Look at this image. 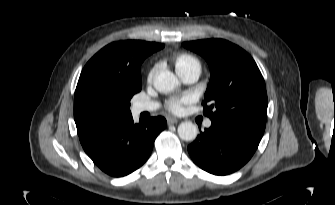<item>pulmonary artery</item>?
<instances>
[{"instance_id":"1","label":"pulmonary artery","mask_w":335,"mask_h":205,"mask_svg":"<svg viewBox=\"0 0 335 205\" xmlns=\"http://www.w3.org/2000/svg\"><path fill=\"white\" fill-rule=\"evenodd\" d=\"M178 74L185 83H194L198 80L200 76V70L194 68V69H189V70H186ZM157 108H158V104L155 102H137L134 106V110L136 113L154 111ZM205 126L210 127L211 121L207 120L205 122Z\"/></svg>"}]
</instances>
